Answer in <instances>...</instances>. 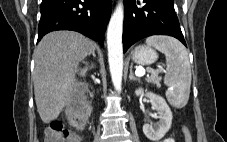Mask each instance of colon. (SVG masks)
I'll return each instance as SVG.
<instances>
[{
    "instance_id": "obj_1",
    "label": "colon",
    "mask_w": 227,
    "mask_h": 142,
    "mask_svg": "<svg viewBox=\"0 0 227 142\" xmlns=\"http://www.w3.org/2000/svg\"><path fill=\"white\" fill-rule=\"evenodd\" d=\"M87 118L85 110L76 109L71 111V126L80 129L84 126ZM185 142H192L191 132L188 127H183ZM45 142H77V137L70 126H66L62 121L55 120L50 123L46 130Z\"/></svg>"
}]
</instances>
